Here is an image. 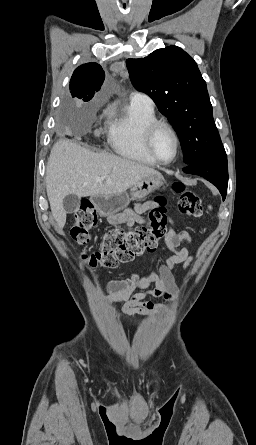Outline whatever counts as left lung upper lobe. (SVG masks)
<instances>
[{"label":"left lung upper lobe","instance_id":"left-lung-upper-lobe-1","mask_svg":"<svg viewBox=\"0 0 256 445\" xmlns=\"http://www.w3.org/2000/svg\"><path fill=\"white\" fill-rule=\"evenodd\" d=\"M126 65L134 87L148 94L173 125L186 164L226 157L206 82L185 51L169 46L145 58L128 59Z\"/></svg>","mask_w":256,"mask_h":445}]
</instances>
